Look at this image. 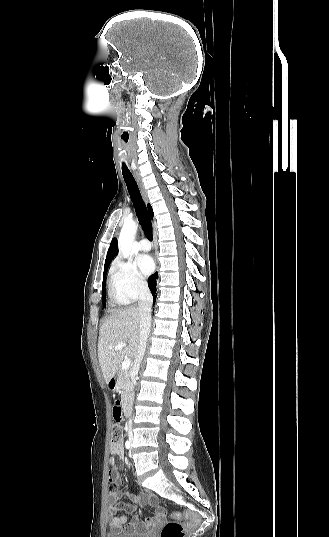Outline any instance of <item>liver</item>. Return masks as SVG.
I'll use <instances>...</instances> for the list:
<instances>
[{
  "label": "liver",
  "instance_id": "6515ba94",
  "mask_svg": "<svg viewBox=\"0 0 329 537\" xmlns=\"http://www.w3.org/2000/svg\"><path fill=\"white\" fill-rule=\"evenodd\" d=\"M139 313L137 308L113 311L100 328L98 359L106 383L115 376L125 357L135 358L139 345ZM128 346L115 351L119 343Z\"/></svg>",
  "mask_w": 329,
  "mask_h": 537
}]
</instances>
